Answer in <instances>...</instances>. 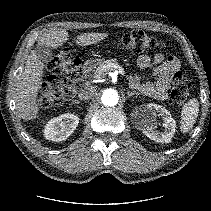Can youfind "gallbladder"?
<instances>
[{
  "instance_id": "obj_1",
  "label": "gallbladder",
  "mask_w": 211,
  "mask_h": 211,
  "mask_svg": "<svg viewBox=\"0 0 211 211\" xmlns=\"http://www.w3.org/2000/svg\"><path fill=\"white\" fill-rule=\"evenodd\" d=\"M37 56L42 63H48L52 60V50L47 45L37 46L35 48Z\"/></svg>"
}]
</instances>
